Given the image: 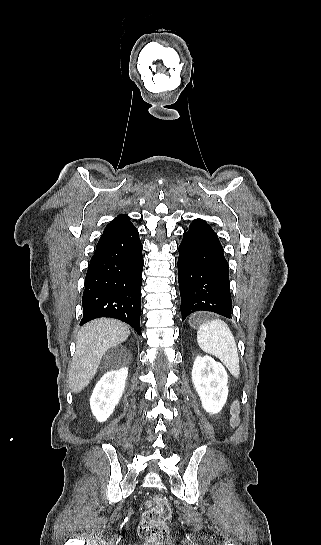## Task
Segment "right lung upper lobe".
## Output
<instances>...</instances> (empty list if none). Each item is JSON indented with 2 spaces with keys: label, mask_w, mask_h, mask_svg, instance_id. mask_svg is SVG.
<instances>
[{
  "label": "right lung upper lobe",
  "mask_w": 321,
  "mask_h": 545,
  "mask_svg": "<svg viewBox=\"0 0 321 545\" xmlns=\"http://www.w3.org/2000/svg\"><path fill=\"white\" fill-rule=\"evenodd\" d=\"M133 225L130 222V218L126 215H119L114 220H112L104 229L103 235L108 234L113 231H117L126 227Z\"/></svg>",
  "instance_id": "obj_1"
}]
</instances>
